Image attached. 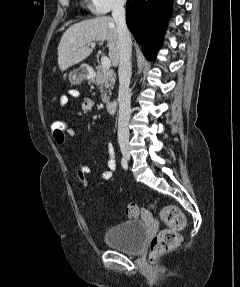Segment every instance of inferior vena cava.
<instances>
[{"mask_svg":"<svg viewBox=\"0 0 240 287\" xmlns=\"http://www.w3.org/2000/svg\"><path fill=\"white\" fill-rule=\"evenodd\" d=\"M125 0H114L112 17L119 39V119L118 142L121 148L129 147V119L131 113L129 84L131 78L132 40L125 21Z\"/></svg>","mask_w":240,"mask_h":287,"instance_id":"602c4592","label":"inferior vena cava"}]
</instances>
